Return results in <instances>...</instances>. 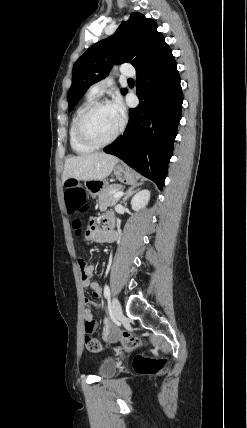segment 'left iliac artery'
Returning <instances> with one entry per match:
<instances>
[{
	"instance_id": "obj_1",
	"label": "left iliac artery",
	"mask_w": 247,
	"mask_h": 428,
	"mask_svg": "<svg viewBox=\"0 0 247 428\" xmlns=\"http://www.w3.org/2000/svg\"><path fill=\"white\" fill-rule=\"evenodd\" d=\"M104 297L109 298L110 297V288L108 285L104 286Z\"/></svg>"
}]
</instances>
